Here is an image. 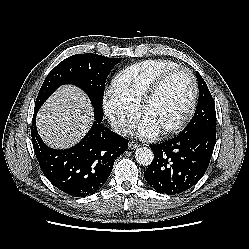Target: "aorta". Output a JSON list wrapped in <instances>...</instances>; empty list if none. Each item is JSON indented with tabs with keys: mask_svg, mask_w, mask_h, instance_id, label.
I'll use <instances>...</instances> for the list:
<instances>
[{
	"mask_svg": "<svg viewBox=\"0 0 249 249\" xmlns=\"http://www.w3.org/2000/svg\"><path fill=\"white\" fill-rule=\"evenodd\" d=\"M135 159L140 165L149 166L154 159V155L150 148L140 147L135 151Z\"/></svg>",
	"mask_w": 249,
	"mask_h": 249,
	"instance_id": "1",
	"label": "aorta"
}]
</instances>
